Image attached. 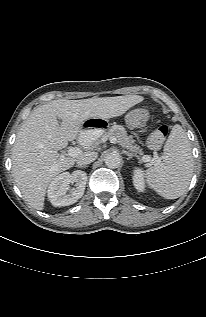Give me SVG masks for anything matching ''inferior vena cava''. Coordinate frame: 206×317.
I'll use <instances>...</instances> for the list:
<instances>
[{
    "mask_svg": "<svg viewBox=\"0 0 206 317\" xmlns=\"http://www.w3.org/2000/svg\"><path fill=\"white\" fill-rule=\"evenodd\" d=\"M97 157L98 155L96 152H85L80 154L76 161L79 166H85L95 161Z\"/></svg>",
    "mask_w": 206,
    "mask_h": 317,
    "instance_id": "602c4592",
    "label": "inferior vena cava"
}]
</instances>
